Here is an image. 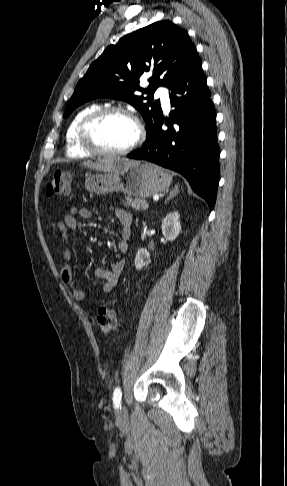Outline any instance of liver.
Wrapping results in <instances>:
<instances>
[{
    "label": "liver",
    "instance_id": "1",
    "mask_svg": "<svg viewBox=\"0 0 287 486\" xmlns=\"http://www.w3.org/2000/svg\"><path fill=\"white\" fill-rule=\"evenodd\" d=\"M136 161L129 160L127 158H110L104 159L99 162H83L82 166L102 172H115L119 170L123 165L131 164Z\"/></svg>",
    "mask_w": 287,
    "mask_h": 486
}]
</instances>
